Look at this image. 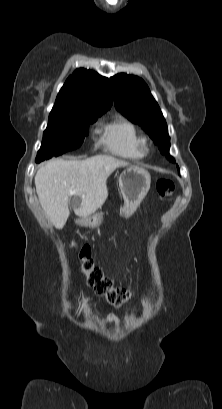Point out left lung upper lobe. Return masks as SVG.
Returning a JSON list of instances; mask_svg holds the SVG:
<instances>
[{
	"label": "left lung upper lobe",
	"mask_w": 222,
	"mask_h": 409,
	"mask_svg": "<svg viewBox=\"0 0 222 409\" xmlns=\"http://www.w3.org/2000/svg\"><path fill=\"white\" fill-rule=\"evenodd\" d=\"M110 80L115 94L116 108L130 121L141 125L159 146L161 153L175 162L169 155L170 138L166 121L146 83L137 76L125 73L117 74Z\"/></svg>",
	"instance_id": "1"
}]
</instances>
